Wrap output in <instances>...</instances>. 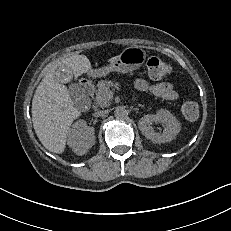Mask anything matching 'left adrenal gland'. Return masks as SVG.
<instances>
[{
	"label": "left adrenal gland",
	"mask_w": 231,
	"mask_h": 231,
	"mask_svg": "<svg viewBox=\"0 0 231 231\" xmlns=\"http://www.w3.org/2000/svg\"><path fill=\"white\" fill-rule=\"evenodd\" d=\"M139 107H143V105H138Z\"/></svg>",
	"instance_id": "left-adrenal-gland-1"
}]
</instances>
